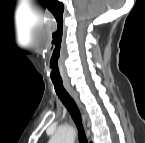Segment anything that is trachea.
Returning a JSON list of instances; mask_svg holds the SVG:
<instances>
[{
    "mask_svg": "<svg viewBox=\"0 0 145 143\" xmlns=\"http://www.w3.org/2000/svg\"><path fill=\"white\" fill-rule=\"evenodd\" d=\"M53 84H54L56 94L58 95L62 103L65 105L67 110L69 111L72 119L74 120L77 126V129L79 131V142L88 143L86 135H85V131H84L81 119H80V112L75 101L66 91L62 82H53Z\"/></svg>",
    "mask_w": 145,
    "mask_h": 143,
    "instance_id": "obj_1",
    "label": "trachea"
}]
</instances>
